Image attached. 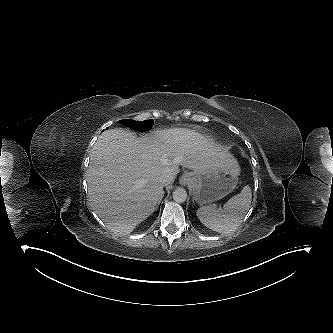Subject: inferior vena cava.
I'll use <instances>...</instances> for the list:
<instances>
[{
	"label": "inferior vena cava",
	"mask_w": 333,
	"mask_h": 333,
	"mask_svg": "<svg viewBox=\"0 0 333 333\" xmlns=\"http://www.w3.org/2000/svg\"><path fill=\"white\" fill-rule=\"evenodd\" d=\"M173 173L168 170V169H165L161 172V174L158 176V181L163 185H168L172 182L173 180Z\"/></svg>",
	"instance_id": "602c4592"
}]
</instances>
